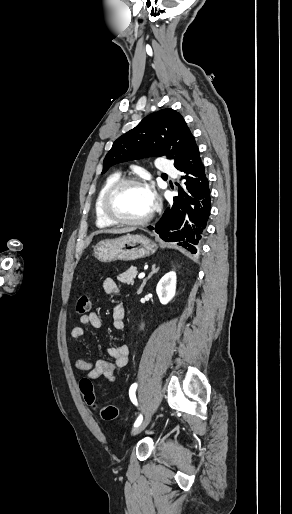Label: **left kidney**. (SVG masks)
Wrapping results in <instances>:
<instances>
[{
  "label": "left kidney",
  "instance_id": "5707ae66",
  "mask_svg": "<svg viewBox=\"0 0 292 514\" xmlns=\"http://www.w3.org/2000/svg\"><path fill=\"white\" fill-rule=\"evenodd\" d=\"M156 292L161 304H168L174 298L176 292L175 272H168L161 278L157 284Z\"/></svg>",
  "mask_w": 292,
  "mask_h": 514
}]
</instances>
